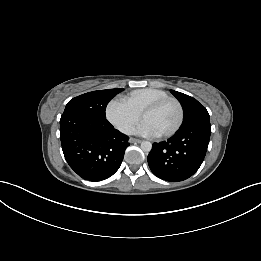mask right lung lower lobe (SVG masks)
<instances>
[{
    "instance_id": "right-lung-lower-lobe-1",
    "label": "right lung lower lobe",
    "mask_w": 261,
    "mask_h": 261,
    "mask_svg": "<svg viewBox=\"0 0 261 261\" xmlns=\"http://www.w3.org/2000/svg\"><path fill=\"white\" fill-rule=\"evenodd\" d=\"M60 139L69 166L89 181L112 176L129 146V137L114 129L106 118L75 112L62 114Z\"/></svg>"
}]
</instances>
